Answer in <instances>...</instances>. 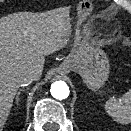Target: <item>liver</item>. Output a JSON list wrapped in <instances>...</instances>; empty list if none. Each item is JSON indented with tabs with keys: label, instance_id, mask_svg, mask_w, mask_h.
I'll return each mask as SVG.
<instances>
[{
	"label": "liver",
	"instance_id": "obj_1",
	"mask_svg": "<svg viewBox=\"0 0 131 131\" xmlns=\"http://www.w3.org/2000/svg\"><path fill=\"white\" fill-rule=\"evenodd\" d=\"M71 19L67 8L46 13H17L0 19V131L9 116L20 79L41 77L45 57L68 45ZM79 46V47H78ZM73 58H80L85 41L75 40Z\"/></svg>",
	"mask_w": 131,
	"mask_h": 131
}]
</instances>
